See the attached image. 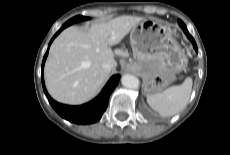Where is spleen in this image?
<instances>
[{
    "label": "spleen",
    "instance_id": "3e777b00",
    "mask_svg": "<svg viewBox=\"0 0 230 155\" xmlns=\"http://www.w3.org/2000/svg\"><path fill=\"white\" fill-rule=\"evenodd\" d=\"M192 91V79L187 77L181 85L169 87L148 95L150 107L163 117L173 116L186 107Z\"/></svg>",
    "mask_w": 230,
    "mask_h": 155
}]
</instances>
